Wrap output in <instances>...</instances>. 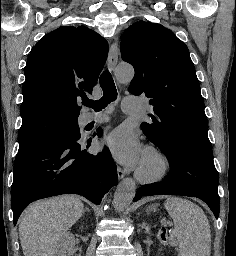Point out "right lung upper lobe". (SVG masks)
Instances as JSON below:
<instances>
[{"mask_svg": "<svg viewBox=\"0 0 236 256\" xmlns=\"http://www.w3.org/2000/svg\"><path fill=\"white\" fill-rule=\"evenodd\" d=\"M107 54V41L84 26L59 27L45 35L25 67L22 120L45 111L77 118V97L92 94Z\"/></svg>", "mask_w": 236, "mask_h": 256, "instance_id": "cb5924a9", "label": "right lung upper lobe"}]
</instances>
